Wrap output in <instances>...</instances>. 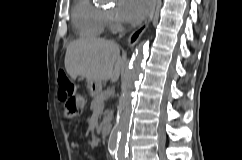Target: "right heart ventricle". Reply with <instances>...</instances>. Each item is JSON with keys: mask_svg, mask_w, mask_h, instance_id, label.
<instances>
[{"mask_svg": "<svg viewBox=\"0 0 242 160\" xmlns=\"http://www.w3.org/2000/svg\"><path fill=\"white\" fill-rule=\"evenodd\" d=\"M72 22L77 33L85 38H99L106 29V17L92 0H75Z\"/></svg>", "mask_w": 242, "mask_h": 160, "instance_id": "right-heart-ventricle-1", "label": "right heart ventricle"}]
</instances>
